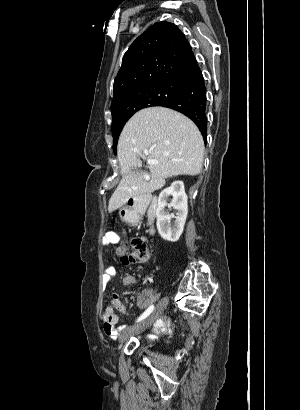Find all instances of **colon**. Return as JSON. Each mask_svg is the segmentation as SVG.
<instances>
[{
  "label": "colon",
  "mask_w": 300,
  "mask_h": 410,
  "mask_svg": "<svg viewBox=\"0 0 300 410\" xmlns=\"http://www.w3.org/2000/svg\"><path fill=\"white\" fill-rule=\"evenodd\" d=\"M150 245L143 237H133L129 241V251L122 257L125 266L142 264L150 257Z\"/></svg>",
  "instance_id": "obj_1"
}]
</instances>
